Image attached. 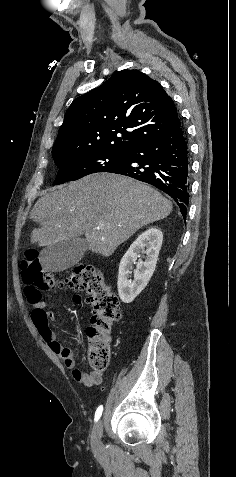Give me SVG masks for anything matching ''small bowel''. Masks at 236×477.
Masks as SVG:
<instances>
[{
	"label": "small bowel",
	"mask_w": 236,
	"mask_h": 477,
	"mask_svg": "<svg viewBox=\"0 0 236 477\" xmlns=\"http://www.w3.org/2000/svg\"><path fill=\"white\" fill-rule=\"evenodd\" d=\"M74 301L81 305L82 299L79 296L74 297ZM33 306L31 320L39 335L47 343L52 352L60 356L66 367L73 369V377L77 382H81L88 386L98 385L102 382V375L97 372L81 373L74 369L75 354L74 351L63 346L56 333L51 327V323L55 320V313L47 310V305L43 301L30 302Z\"/></svg>",
	"instance_id": "c3829d8e"
}]
</instances>
